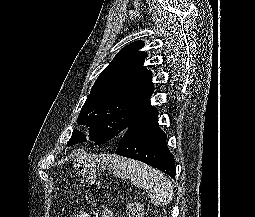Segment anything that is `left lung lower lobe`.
Here are the masks:
<instances>
[{
	"label": "left lung lower lobe",
	"instance_id": "left-lung-lower-lobe-1",
	"mask_svg": "<svg viewBox=\"0 0 255 217\" xmlns=\"http://www.w3.org/2000/svg\"><path fill=\"white\" fill-rule=\"evenodd\" d=\"M158 110L150 107L123 134L116 154L142 161L175 179V161L159 128Z\"/></svg>",
	"mask_w": 255,
	"mask_h": 217
}]
</instances>
